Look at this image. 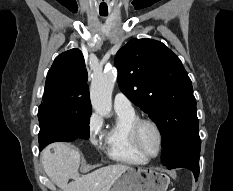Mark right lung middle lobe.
Wrapping results in <instances>:
<instances>
[{"mask_svg": "<svg viewBox=\"0 0 233 191\" xmlns=\"http://www.w3.org/2000/svg\"><path fill=\"white\" fill-rule=\"evenodd\" d=\"M92 111L59 104H41L39 146L43 148L54 141H73L89 138V122Z\"/></svg>", "mask_w": 233, "mask_h": 191, "instance_id": "dd1d6c3e", "label": "right lung middle lobe"}]
</instances>
